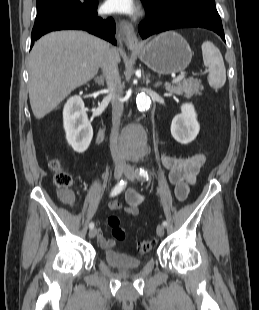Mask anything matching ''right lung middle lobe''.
I'll return each instance as SVG.
<instances>
[{
	"mask_svg": "<svg viewBox=\"0 0 259 310\" xmlns=\"http://www.w3.org/2000/svg\"><path fill=\"white\" fill-rule=\"evenodd\" d=\"M37 16L41 17L53 11H70L83 6L79 0H37Z\"/></svg>",
	"mask_w": 259,
	"mask_h": 310,
	"instance_id": "dd1d6c3e",
	"label": "right lung middle lobe"
}]
</instances>
